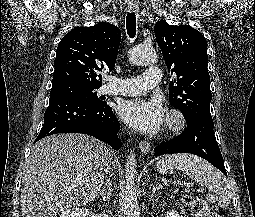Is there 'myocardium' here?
I'll use <instances>...</instances> for the list:
<instances>
[{
	"label": "myocardium",
	"mask_w": 255,
	"mask_h": 217,
	"mask_svg": "<svg viewBox=\"0 0 255 217\" xmlns=\"http://www.w3.org/2000/svg\"><path fill=\"white\" fill-rule=\"evenodd\" d=\"M186 126V118L183 112L177 108H171L167 112L165 133L168 135L181 132Z\"/></svg>",
	"instance_id": "f54148a6"
}]
</instances>
